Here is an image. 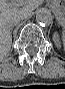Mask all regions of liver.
<instances>
[{
    "instance_id": "liver-1",
    "label": "liver",
    "mask_w": 65,
    "mask_h": 89,
    "mask_svg": "<svg viewBox=\"0 0 65 89\" xmlns=\"http://www.w3.org/2000/svg\"><path fill=\"white\" fill-rule=\"evenodd\" d=\"M41 0H1L0 1V57H7L12 44V21L25 18L40 4Z\"/></svg>"
}]
</instances>
